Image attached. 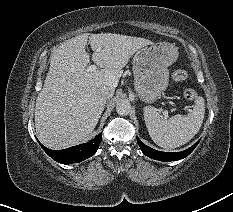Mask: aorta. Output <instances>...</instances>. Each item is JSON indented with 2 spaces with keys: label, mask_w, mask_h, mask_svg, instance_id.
I'll return each instance as SVG.
<instances>
[{
  "label": "aorta",
  "mask_w": 233,
  "mask_h": 212,
  "mask_svg": "<svg viewBox=\"0 0 233 212\" xmlns=\"http://www.w3.org/2000/svg\"><path fill=\"white\" fill-rule=\"evenodd\" d=\"M116 111L121 116H126L131 111V104L129 101H121L116 106Z\"/></svg>",
  "instance_id": "762f6f07"
}]
</instances>
